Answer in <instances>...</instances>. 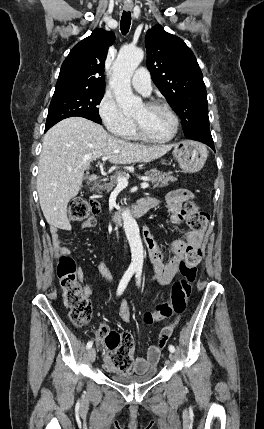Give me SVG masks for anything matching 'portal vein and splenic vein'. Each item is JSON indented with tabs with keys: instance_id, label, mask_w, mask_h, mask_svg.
Returning <instances> with one entry per match:
<instances>
[{
	"instance_id": "18ae733b",
	"label": "portal vein and splenic vein",
	"mask_w": 264,
	"mask_h": 429,
	"mask_svg": "<svg viewBox=\"0 0 264 429\" xmlns=\"http://www.w3.org/2000/svg\"><path fill=\"white\" fill-rule=\"evenodd\" d=\"M108 158H109L108 156H103L102 160L106 161ZM117 181H118V186L119 187L125 188V187L128 186V179L126 177H124V176H118ZM148 186H149L148 182H143L141 184V188H147Z\"/></svg>"
}]
</instances>
